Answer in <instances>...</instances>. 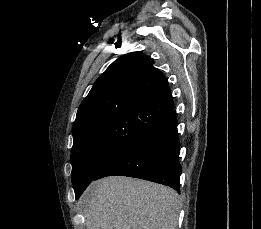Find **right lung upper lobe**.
<instances>
[{
	"label": "right lung upper lobe",
	"instance_id": "obj_1",
	"mask_svg": "<svg viewBox=\"0 0 261 229\" xmlns=\"http://www.w3.org/2000/svg\"><path fill=\"white\" fill-rule=\"evenodd\" d=\"M141 52L128 53L96 80L73 123V145L131 147L173 111L168 82Z\"/></svg>",
	"mask_w": 261,
	"mask_h": 229
}]
</instances>
